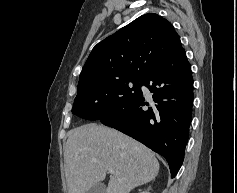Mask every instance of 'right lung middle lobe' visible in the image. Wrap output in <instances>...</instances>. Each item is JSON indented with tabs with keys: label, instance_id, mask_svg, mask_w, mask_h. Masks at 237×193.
Listing matches in <instances>:
<instances>
[{
	"label": "right lung middle lobe",
	"instance_id": "1",
	"mask_svg": "<svg viewBox=\"0 0 237 193\" xmlns=\"http://www.w3.org/2000/svg\"><path fill=\"white\" fill-rule=\"evenodd\" d=\"M143 78L108 80L78 90L72 113L88 120L111 116L130 104L140 93Z\"/></svg>",
	"mask_w": 237,
	"mask_h": 193
}]
</instances>
